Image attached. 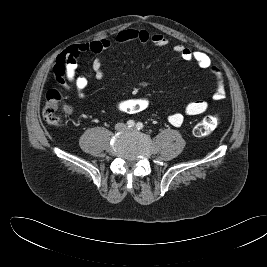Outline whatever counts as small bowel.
I'll list each match as a JSON object with an SVG mask.
<instances>
[{
    "instance_id": "small-bowel-1",
    "label": "small bowel",
    "mask_w": 267,
    "mask_h": 267,
    "mask_svg": "<svg viewBox=\"0 0 267 267\" xmlns=\"http://www.w3.org/2000/svg\"><path fill=\"white\" fill-rule=\"evenodd\" d=\"M128 42H151L158 47L168 45V39L160 33H150L144 29H125L119 32L113 39H99L91 42L71 45L66 48L56 59L53 66V74L57 83L65 90L70 91V84L76 88L78 97L83 98L85 89L88 86V79L85 76L77 74L80 55L85 53L100 54L113 44H122ZM173 51L177 53L184 61L195 62L201 69L209 71L214 81V92L212 98L216 101L222 100L226 96V85L222 72L218 67L212 64L209 56L198 50H191L182 44H175ZM93 74L96 78L103 77L104 72L99 58L92 62ZM208 102L204 99L189 102L183 109V112H174L167 116L170 124L180 127L185 116H195L202 114L208 109Z\"/></svg>"
}]
</instances>
